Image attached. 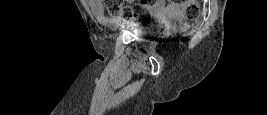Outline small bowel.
I'll return each instance as SVG.
<instances>
[{
    "mask_svg": "<svg viewBox=\"0 0 267 115\" xmlns=\"http://www.w3.org/2000/svg\"><path fill=\"white\" fill-rule=\"evenodd\" d=\"M92 12L95 14L100 19H106L104 7L102 5V2L100 0H88L87 1ZM172 9L175 10L176 7L171 5L167 6L164 1H158L154 6H153V12L156 14H162L166 11V9Z\"/></svg>",
    "mask_w": 267,
    "mask_h": 115,
    "instance_id": "small-bowel-1",
    "label": "small bowel"
}]
</instances>
